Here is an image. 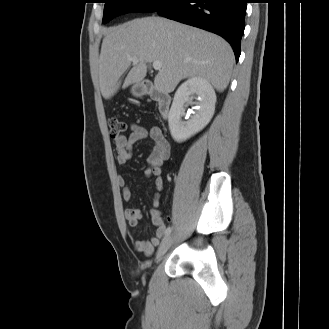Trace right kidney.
<instances>
[{"label": "right kidney", "mask_w": 329, "mask_h": 329, "mask_svg": "<svg viewBox=\"0 0 329 329\" xmlns=\"http://www.w3.org/2000/svg\"><path fill=\"white\" fill-rule=\"evenodd\" d=\"M198 102H193L195 97ZM197 104L195 114L186 122L181 121L185 114V104ZM216 94L211 84L201 77H192L177 89L168 115L171 136L183 142L201 131L211 120L215 111Z\"/></svg>", "instance_id": "obj_1"}]
</instances>
